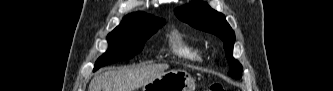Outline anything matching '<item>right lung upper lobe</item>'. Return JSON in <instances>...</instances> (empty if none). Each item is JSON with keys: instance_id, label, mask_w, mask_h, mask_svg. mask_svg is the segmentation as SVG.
Returning a JSON list of instances; mask_svg holds the SVG:
<instances>
[{"instance_id": "obj_1", "label": "right lung upper lobe", "mask_w": 333, "mask_h": 91, "mask_svg": "<svg viewBox=\"0 0 333 91\" xmlns=\"http://www.w3.org/2000/svg\"><path fill=\"white\" fill-rule=\"evenodd\" d=\"M155 19H159V18H156V17H154L150 14H146L144 12H137V13H131V14L127 15L126 17H124L121 24L130 23V22H138V21H151V20H155Z\"/></svg>"}]
</instances>
